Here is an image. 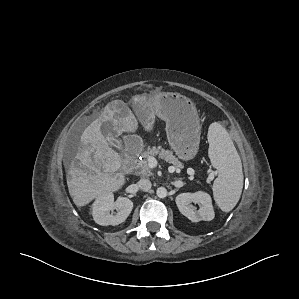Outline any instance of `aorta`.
I'll list each match as a JSON object with an SVG mask.
<instances>
[{"instance_id":"762f6f07","label":"aorta","mask_w":299,"mask_h":299,"mask_svg":"<svg viewBox=\"0 0 299 299\" xmlns=\"http://www.w3.org/2000/svg\"><path fill=\"white\" fill-rule=\"evenodd\" d=\"M159 198H165L167 196V189L164 187H159L156 191Z\"/></svg>"}]
</instances>
